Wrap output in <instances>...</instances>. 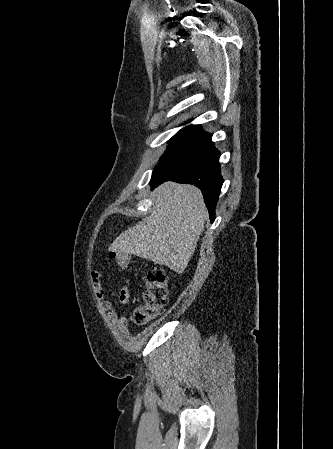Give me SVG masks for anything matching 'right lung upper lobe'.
Segmentation results:
<instances>
[{
	"instance_id": "cb5924a9",
	"label": "right lung upper lobe",
	"mask_w": 333,
	"mask_h": 449,
	"mask_svg": "<svg viewBox=\"0 0 333 449\" xmlns=\"http://www.w3.org/2000/svg\"><path fill=\"white\" fill-rule=\"evenodd\" d=\"M186 128L200 129L199 125H190V126H188Z\"/></svg>"
}]
</instances>
